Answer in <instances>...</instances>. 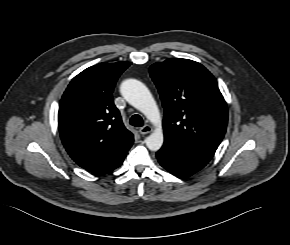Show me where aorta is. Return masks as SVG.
Instances as JSON below:
<instances>
[{
    "label": "aorta",
    "mask_w": 290,
    "mask_h": 245,
    "mask_svg": "<svg viewBox=\"0 0 290 245\" xmlns=\"http://www.w3.org/2000/svg\"><path fill=\"white\" fill-rule=\"evenodd\" d=\"M120 91L126 101L141 111L155 126V130L145 140L151 151H158L164 141L162 120L158 106L149 89L136 79H127L122 82Z\"/></svg>",
    "instance_id": "aorta-1"
}]
</instances>
